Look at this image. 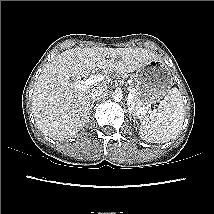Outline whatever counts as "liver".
Here are the masks:
<instances>
[{
    "mask_svg": "<svg viewBox=\"0 0 214 214\" xmlns=\"http://www.w3.org/2000/svg\"><path fill=\"white\" fill-rule=\"evenodd\" d=\"M153 59L157 56L143 48L77 47L62 52L45 66L34 88L32 112L38 128L54 140L73 137L89 121L91 92L106 84L79 89L76 81L97 68L132 73Z\"/></svg>",
    "mask_w": 214,
    "mask_h": 214,
    "instance_id": "obj_1",
    "label": "liver"
}]
</instances>
